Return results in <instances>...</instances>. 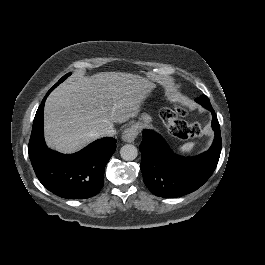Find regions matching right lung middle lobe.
Instances as JSON below:
<instances>
[{"instance_id": "1", "label": "right lung middle lobe", "mask_w": 265, "mask_h": 265, "mask_svg": "<svg viewBox=\"0 0 265 265\" xmlns=\"http://www.w3.org/2000/svg\"><path fill=\"white\" fill-rule=\"evenodd\" d=\"M69 75H71V73L66 74L65 76H63L54 86L53 88H55L58 84H60L62 81H64Z\"/></svg>"}]
</instances>
